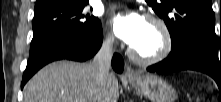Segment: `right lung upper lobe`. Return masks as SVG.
I'll use <instances>...</instances> for the list:
<instances>
[{
	"instance_id": "obj_1",
	"label": "right lung upper lobe",
	"mask_w": 221,
	"mask_h": 102,
	"mask_svg": "<svg viewBox=\"0 0 221 102\" xmlns=\"http://www.w3.org/2000/svg\"><path fill=\"white\" fill-rule=\"evenodd\" d=\"M44 1H46V0H37V1H36V4L42 3V2H44Z\"/></svg>"
}]
</instances>
